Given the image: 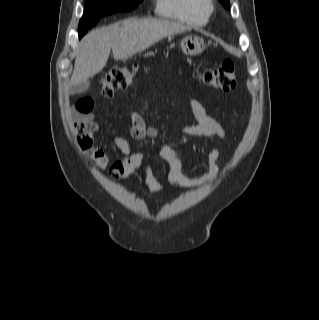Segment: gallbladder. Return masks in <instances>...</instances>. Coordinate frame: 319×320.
I'll list each match as a JSON object with an SVG mask.
<instances>
[{
    "label": "gallbladder",
    "mask_w": 319,
    "mask_h": 320,
    "mask_svg": "<svg viewBox=\"0 0 319 320\" xmlns=\"http://www.w3.org/2000/svg\"><path fill=\"white\" fill-rule=\"evenodd\" d=\"M89 85H90V83L88 81H84L82 83H79L71 88L70 93L71 94L82 93L89 88Z\"/></svg>",
    "instance_id": "gallbladder-1"
}]
</instances>
